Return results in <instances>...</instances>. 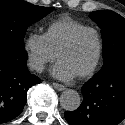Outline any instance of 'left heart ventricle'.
Here are the masks:
<instances>
[{"label":"left heart ventricle","instance_id":"left-heart-ventricle-1","mask_svg":"<svg viewBox=\"0 0 125 125\" xmlns=\"http://www.w3.org/2000/svg\"><path fill=\"white\" fill-rule=\"evenodd\" d=\"M97 49L98 42L95 34L93 32H85L71 48L60 54L59 60L64 62L77 76L92 65Z\"/></svg>","mask_w":125,"mask_h":125}]
</instances>
